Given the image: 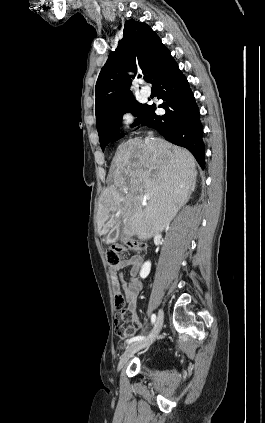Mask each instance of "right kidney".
Masks as SVG:
<instances>
[{
	"label": "right kidney",
	"instance_id": "1",
	"mask_svg": "<svg viewBox=\"0 0 265 423\" xmlns=\"http://www.w3.org/2000/svg\"><path fill=\"white\" fill-rule=\"evenodd\" d=\"M150 270H151V262L147 261L143 264V266L141 268L140 277L142 279H145L149 275Z\"/></svg>",
	"mask_w": 265,
	"mask_h": 423
}]
</instances>
